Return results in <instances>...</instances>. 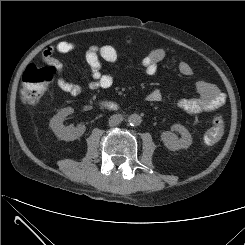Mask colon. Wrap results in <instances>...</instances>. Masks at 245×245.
Listing matches in <instances>:
<instances>
[{
    "label": "colon",
    "mask_w": 245,
    "mask_h": 245,
    "mask_svg": "<svg viewBox=\"0 0 245 245\" xmlns=\"http://www.w3.org/2000/svg\"><path fill=\"white\" fill-rule=\"evenodd\" d=\"M52 78L53 71L51 68L29 65L22 77L21 97L23 101L29 104L37 102L44 94ZM224 128L225 119L223 115H214L211 127L204 135L205 143L208 145L217 143L224 133Z\"/></svg>",
    "instance_id": "1"
}]
</instances>
